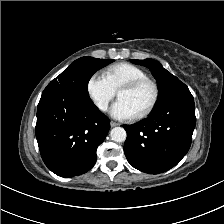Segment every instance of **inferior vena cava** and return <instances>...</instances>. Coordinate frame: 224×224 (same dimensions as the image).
I'll return each mask as SVG.
<instances>
[{
	"label": "inferior vena cava",
	"instance_id": "1",
	"mask_svg": "<svg viewBox=\"0 0 224 224\" xmlns=\"http://www.w3.org/2000/svg\"><path fill=\"white\" fill-rule=\"evenodd\" d=\"M101 109L104 110V111L107 110V104H106V103L103 104V105L101 106Z\"/></svg>",
	"mask_w": 224,
	"mask_h": 224
}]
</instances>
